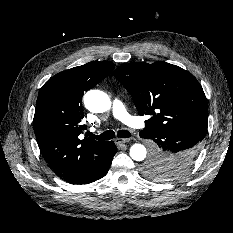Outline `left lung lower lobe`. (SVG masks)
<instances>
[{
	"label": "left lung lower lobe",
	"instance_id": "0a47b994",
	"mask_svg": "<svg viewBox=\"0 0 233 233\" xmlns=\"http://www.w3.org/2000/svg\"><path fill=\"white\" fill-rule=\"evenodd\" d=\"M140 137L155 142L153 156L163 159L172 171L161 172L158 180H173L185 174L195 161L201 142L198 135L183 130L141 131Z\"/></svg>",
	"mask_w": 233,
	"mask_h": 233
}]
</instances>
